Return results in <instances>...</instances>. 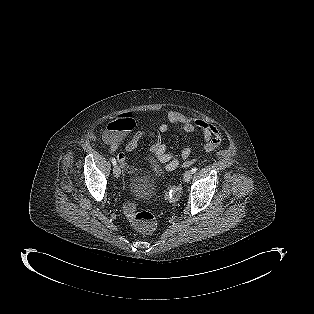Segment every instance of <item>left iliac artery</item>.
Listing matches in <instances>:
<instances>
[{"instance_id": "obj_1", "label": "left iliac artery", "mask_w": 314, "mask_h": 314, "mask_svg": "<svg viewBox=\"0 0 314 314\" xmlns=\"http://www.w3.org/2000/svg\"><path fill=\"white\" fill-rule=\"evenodd\" d=\"M196 171H197L196 167L192 168V170H191L192 174H194Z\"/></svg>"}]
</instances>
